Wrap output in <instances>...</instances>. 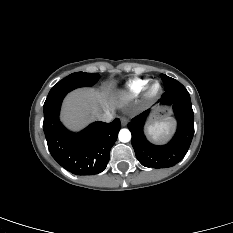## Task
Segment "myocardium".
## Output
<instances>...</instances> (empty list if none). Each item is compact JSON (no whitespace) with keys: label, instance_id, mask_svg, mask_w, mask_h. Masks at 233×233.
<instances>
[{"label":"myocardium","instance_id":"f54148a6","mask_svg":"<svg viewBox=\"0 0 233 233\" xmlns=\"http://www.w3.org/2000/svg\"><path fill=\"white\" fill-rule=\"evenodd\" d=\"M161 91V84L158 81H152L146 87V97L148 99H154L160 95Z\"/></svg>","mask_w":233,"mask_h":233}]
</instances>
